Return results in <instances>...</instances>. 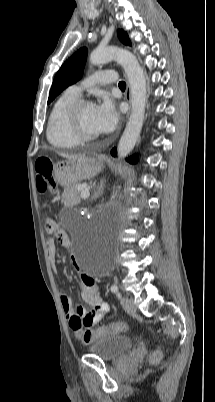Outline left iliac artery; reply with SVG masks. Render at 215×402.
<instances>
[{
  "label": "left iliac artery",
  "instance_id": "left-iliac-artery-1",
  "mask_svg": "<svg viewBox=\"0 0 215 402\" xmlns=\"http://www.w3.org/2000/svg\"><path fill=\"white\" fill-rule=\"evenodd\" d=\"M111 292L115 293L118 298H121V293L119 292L117 285L111 286Z\"/></svg>",
  "mask_w": 215,
  "mask_h": 402
}]
</instances>
